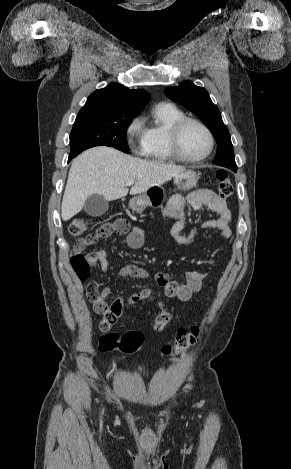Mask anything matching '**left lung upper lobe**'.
<instances>
[{
	"label": "left lung upper lobe",
	"instance_id": "1",
	"mask_svg": "<svg viewBox=\"0 0 291 469\" xmlns=\"http://www.w3.org/2000/svg\"><path fill=\"white\" fill-rule=\"evenodd\" d=\"M165 93L168 98L196 114L214 135L217 141L214 163L236 171L230 134L223 123L218 107L212 103L207 90L194 85L191 81H185L179 86L166 88Z\"/></svg>",
	"mask_w": 291,
	"mask_h": 469
}]
</instances>
